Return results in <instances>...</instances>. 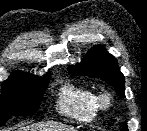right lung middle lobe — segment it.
Wrapping results in <instances>:
<instances>
[{"instance_id": "obj_1", "label": "right lung middle lobe", "mask_w": 147, "mask_h": 131, "mask_svg": "<svg viewBox=\"0 0 147 131\" xmlns=\"http://www.w3.org/2000/svg\"><path fill=\"white\" fill-rule=\"evenodd\" d=\"M50 73L38 76H10L2 83L0 127L13 115H24L39 109Z\"/></svg>"}]
</instances>
